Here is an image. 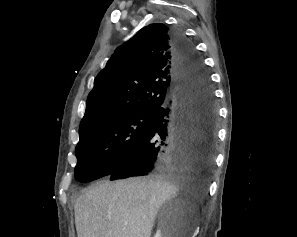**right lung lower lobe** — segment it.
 Masks as SVG:
<instances>
[{
    "label": "right lung lower lobe",
    "mask_w": 297,
    "mask_h": 237,
    "mask_svg": "<svg viewBox=\"0 0 297 237\" xmlns=\"http://www.w3.org/2000/svg\"><path fill=\"white\" fill-rule=\"evenodd\" d=\"M173 71L179 88L154 112L146 135L122 156L110 180L167 173L208 174L213 166L216 108L210 81L192 43L172 31Z\"/></svg>",
    "instance_id": "right-lung-lower-lobe-1"
}]
</instances>
